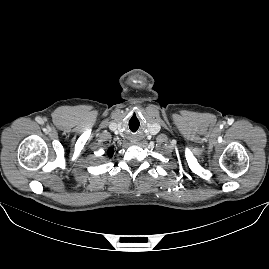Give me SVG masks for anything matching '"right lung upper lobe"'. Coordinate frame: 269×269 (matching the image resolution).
<instances>
[{
	"mask_svg": "<svg viewBox=\"0 0 269 269\" xmlns=\"http://www.w3.org/2000/svg\"><path fill=\"white\" fill-rule=\"evenodd\" d=\"M108 156H112L113 155V149H109L108 152H107Z\"/></svg>",
	"mask_w": 269,
	"mask_h": 269,
	"instance_id": "obj_1",
	"label": "right lung upper lobe"
}]
</instances>
